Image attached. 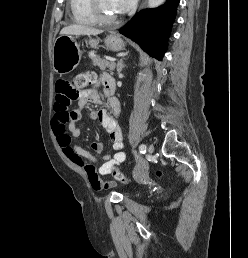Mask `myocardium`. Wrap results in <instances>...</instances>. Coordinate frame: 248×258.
Here are the masks:
<instances>
[{
  "instance_id": "1",
  "label": "myocardium",
  "mask_w": 248,
  "mask_h": 258,
  "mask_svg": "<svg viewBox=\"0 0 248 258\" xmlns=\"http://www.w3.org/2000/svg\"><path fill=\"white\" fill-rule=\"evenodd\" d=\"M100 0H90V10L95 21L102 24H111L118 21V18L105 15L100 7Z\"/></svg>"
}]
</instances>
